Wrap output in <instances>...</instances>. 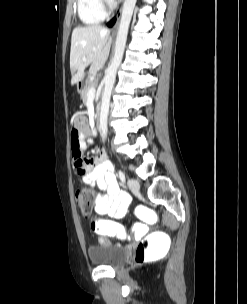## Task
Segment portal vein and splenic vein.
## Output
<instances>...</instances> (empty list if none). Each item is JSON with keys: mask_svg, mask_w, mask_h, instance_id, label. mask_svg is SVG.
<instances>
[{"mask_svg": "<svg viewBox=\"0 0 247 304\" xmlns=\"http://www.w3.org/2000/svg\"><path fill=\"white\" fill-rule=\"evenodd\" d=\"M83 60H86V57H84ZM95 92H96L95 88H94V87H91V88L88 90L87 95L93 97V96H95Z\"/></svg>", "mask_w": 247, "mask_h": 304, "instance_id": "obj_1", "label": "portal vein and splenic vein"}]
</instances>
